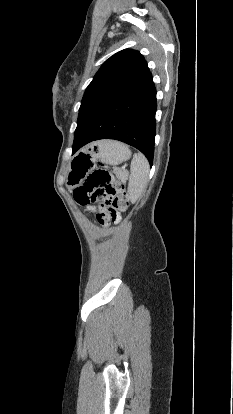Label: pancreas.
Segmentation results:
<instances>
[{
    "label": "pancreas",
    "instance_id": "obj_1",
    "mask_svg": "<svg viewBox=\"0 0 233 414\" xmlns=\"http://www.w3.org/2000/svg\"><path fill=\"white\" fill-rule=\"evenodd\" d=\"M115 173H116L117 177H119L121 179H127V173L126 172L116 171Z\"/></svg>",
    "mask_w": 233,
    "mask_h": 414
}]
</instances>
